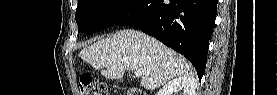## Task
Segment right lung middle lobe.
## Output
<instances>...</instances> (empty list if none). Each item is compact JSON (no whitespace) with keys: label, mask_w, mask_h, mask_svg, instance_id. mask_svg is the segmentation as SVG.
I'll list each match as a JSON object with an SVG mask.
<instances>
[{"label":"right lung middle lobe","mask_w":277,"mask_h":95,"mask_svg":"<svg viewBox=\"0 0 277 95\" xmlns=\"http://www.w3.org/2000/svg\"><path fill=\"white\" fill-rule=\"evenodd\" d=\"M142 0H80L76 9L78 31L91 34L116 24Z\"/></svg>","instance_id":"right-lung-middle-lobe-1"}]
</instances>
